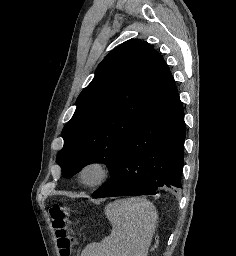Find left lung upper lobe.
Masks as SVG:
<instances>
[{"mask_svg":"<svg viewBox=\"0 0 236 256\" xmlns=\"http://www.w3.org/2000/svg\"><path fill=\"white\" fill-rule=\"evenodd\" d=\"M176 91L166 62L151 45L132 39L116 47L98 65L62 130V175L71 178L93 162L106 164L112 174L137 124Z\"/></svg>","mask_w":236,"mask_h":256,"instance_id":"1","label":"left lung upper lobe"}]
</instances>
